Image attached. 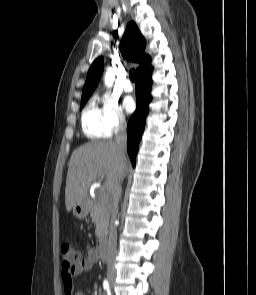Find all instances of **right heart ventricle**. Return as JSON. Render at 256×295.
Masks as SVG:
<instances>
[{
	"instance_id": "e07e8e85",
	"label": "right heart ventricle",
	"mask_w": 256,
	"mask_h": 295,
	"mask_svg": "<svg viewBox=\"0 0 256 295\" xmlns=\"http://www.w3.org/2000/svg\"><path fill=\"white\" fill-rule=\"evenodd\" d=\"M82 130L91 139H101L108 136L103 123L101 109L94 101L88 103L81 116Z\"/></svg>"
}]
</instances>
